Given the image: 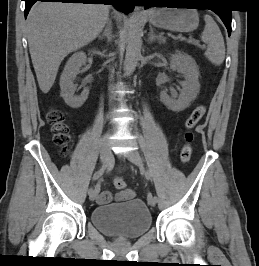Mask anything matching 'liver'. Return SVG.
Wrapping results in <instances>:
<instances>
[{"label": "liver", "instance_id": "obj_1", "mask_svg": "<svg viewBox=\"0 0 259 266\" xmlns=\"http://www.w3.org/2000/svg\"><path fill=\"white\" fill-rule=\"evenodd\" d=\"M103 4L36 2L26 23L29 51L40 90L48 93L63 59L93 41L108 20Z\"/></svg>", "mask_w": 259, "mask_h": 266}]
</instances>
